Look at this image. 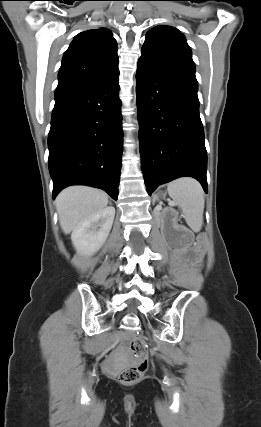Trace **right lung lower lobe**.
Instances as JSON below:
<instances>
[{"instance_id": "obj_1", "label": "right lung lower lobe", "mask_w": 261, "mask_h": 427, "mask_svg": "<svg viewBox=\"0 0 261 427\" xmlns=\"http://www.w3.org/2000/svg\"><path fill=\"white\" fill-rule=\"evenodd\" d=\"M119 72L55 97L48 136L53 199L66 186L105 190L117 200L123 150Z\"/></svg>"}]
</instances>
